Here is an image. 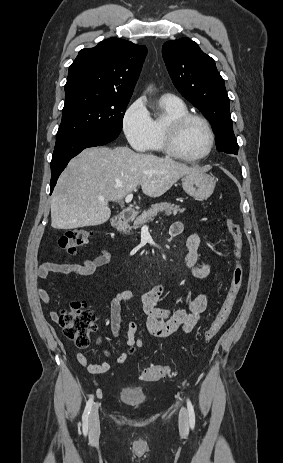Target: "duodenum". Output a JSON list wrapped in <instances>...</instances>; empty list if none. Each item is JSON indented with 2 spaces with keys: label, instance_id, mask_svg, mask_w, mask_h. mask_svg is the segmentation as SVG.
<instances>
[{
  "label": "duodenum",
  "instance_id": "duodenum-1",
  "mask_svg": "<svg viewBox=\"0 0 283 463\" xmlns=\"http://www.w3.org/2000/svg\"><path fill=\"white\" fill-rule=\"evenodd\" d=\"M135 216V209L132 207H127L123 209L111 222V227L113 229L119 228L121 225L131 220Z\"/></svg>",
  "mask_w": 283,
  "mask_h": 463
}]
</instances>
